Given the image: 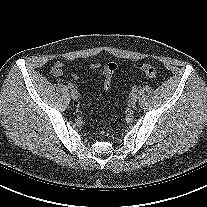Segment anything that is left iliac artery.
Returning a JSON list of instances; mask_svg holds the SVG:
<instances>
[{"mask_svg": "<svg viewBox=\"0 0 207 207\" xmlns=\"http://www.w3.org/2000/svg\"><path fill=\"white\" fill-rule=\"evenodd\" d=\"M138 90V87L137 86H134L133 88H132V91H134V92H136Z\"/></svg>", "mask_w": 207, "mask_h": 207, "instance_id": "obj_1", "label": "left iliac artery"}]
</instances>
